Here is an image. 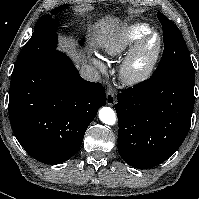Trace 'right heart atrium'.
Instances as JSON below:
<instances>
[{"instance_id": "d8ad5b80", "label": "right heart atrium", "mask_w": 199, "mask_h": 199, "mask_svg": "<svg viewBox=\"0 0 199 199\" xmlns=\"http://www.w3.org/2000/svg\"><path fill=\"white\" fill-rule=\"evenodd\" d=\"M92 63H93V65H95L98 68H102L103 67L101 62L99 60H97V59H93Z\"/></svg>"}]
</instances>
